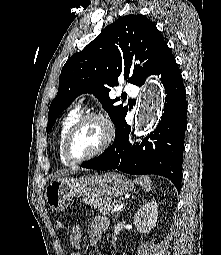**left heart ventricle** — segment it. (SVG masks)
Here are the masks:
<instances>
[{
    "instance_id": "1",
    "label": "left heart ventricle",
    "mask_w": 221,
    "mask_h": 255,
    "mask_svg": "<svg viewBox=\"0 0 221 255\" xmlns=\"http://www.w3.org/2000/svg\"><path fill=\"white\" fill-rule=\"evenodd\" d=\"M103 125L97 120H91L83 125L71 143V153L75 158H83L99 148L104 140Z\"/></svg>"
}]
</instances>
